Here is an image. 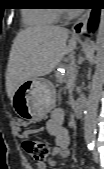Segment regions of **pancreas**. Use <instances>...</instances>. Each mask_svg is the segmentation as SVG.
I'll return each mask as SVG.
<instances>
[{
    "mask_svg": "<svg viewBox=\"0 0 104 169\" xmlns=\"http://www.w3.org/2000/svg\"><path fill=\"white\" fill-rule=\"evenodd\" d=\"M64 67L66 69V75L57 74V79L59 82L66 81V78L71 74L70 69L73 68L74 66L69 64V65H65Z\"/></svg>",
    "mask_w": 104,
    "mask_h": 169,
    "instance_id": "pancreas-1",
    "label": "pancreas"
}]
</instances>
